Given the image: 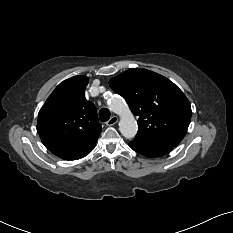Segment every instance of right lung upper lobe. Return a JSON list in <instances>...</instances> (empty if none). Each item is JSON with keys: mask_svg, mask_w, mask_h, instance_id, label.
<instances>
[{"mask_svg": "<svg viewBox=\"0 0 233 233\" xmlns=\"http://www.w3.org/2000/svg\"><path fill=\"white\" fill-rule=\"evenodd\" d=\"M88 77L60 83L38 113L37 131L48 148H76L97 140L101 125L96 107L85 98Z\"/></svg>", "mask_w": 233, "mask_h": 233, "instance_id": "right-lung-upper-lobe-1", "label": "right lung upper lobe"}]
</instances>
